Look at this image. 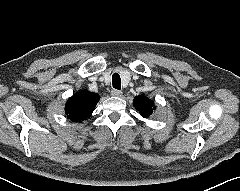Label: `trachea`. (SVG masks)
<instances>
[{
    "instance_id": "3493384b",
    "label": "trachea",
    "mask_w": 240,
    "mask_h": 191,
    "mask_svg": "<svg viewBox=\"0 0 240 191\" xmlns=\"http://www.w3.org/2000/svg\"><path fill=\"white\" fill-rule=\"evenodd\" d=\"M112 85L113 88L120 90L121 89V79L119 74L114 73L112 76Z\"/></svg>"
}]
</instances>
